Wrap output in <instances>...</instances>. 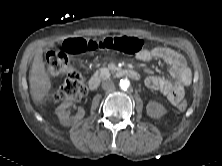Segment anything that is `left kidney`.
<instances>
[{
    "label": "left kidney",
    "mask_w": 222,
    "mask_h": 166,
    "mask_svg": "<svg viewBox=\"0 0 222 166\" xmlns=\"http://www.w3.org/2000/svg\"><path fill=\"white\" fill-rule=\"evenodd\" d=\"M146 112L151 118L159 119L166 114V109L162 104L150 101L146 106Z\"/></svg>",
    "instance_id": "5707ae66"
}]
</instances>
